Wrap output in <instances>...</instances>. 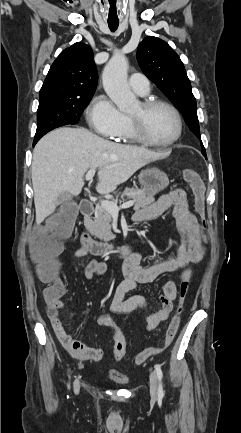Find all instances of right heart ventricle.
<instances>
[{"instance_id": "right-heart-ventricle-1", "label": "right heart ventricle", "mask_w": 241, "mask_h": 433, "mask_svg": "<svg viewBox=\"0 0 241 433\" xmlns=\"http://www.w3.org/2000/svg\"><path fill=\"white\" fill-rule=\"evenodd\" d=\"M115 141H120L124 143H135L138 142L136 137L134 136L131 126L129 117L125 116V122L121 129V131L113 137Z\"/></svg>"}]
</instances>
